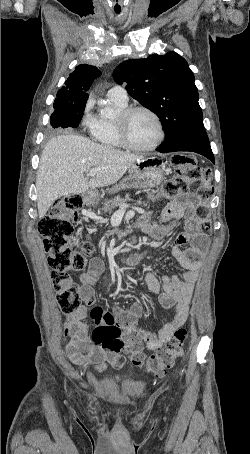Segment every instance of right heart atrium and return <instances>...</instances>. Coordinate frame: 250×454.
I'll use <instances>...</instances> for the list:
<instances>
[{"label": "right heart atrium", "instance_id": "right-heart-atrium-1", "mask_svg": "<svg viewBox=\"0 0 250 454\" xmlns=\"http://www.w3.org/2000/svg\"><path fill=\"white\" fill-rule=\"evenodd\" d=\"M89 110H90V105L87 104V106H86V114H85V116L83 118V123H84V126L86 128L91 130L93 125H94V118H93L92 115H90Z\"/></svg>", "mask_w": 250, "mask_h": 454}]
</instances>
